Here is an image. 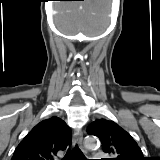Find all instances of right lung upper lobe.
Masks as SVG:
<instances>
[{
  "instance_id": "right-lung-upper-lobe-1",
  "label": "right lung upper lobe",
  "mask_w": 160,
  "mask_h": 160,
  "mask_svg": "<svg viewBox=\"0 0 160 160\" xmlns=\"http://www.w3.org/2000/svg\"><path fill=\"white\" fill-rule=\"evenodd\" d=\"M72 143L71 129L58 117L37 124L20 142L11 160H54Z\"/></svg>"
}]
</instances>
